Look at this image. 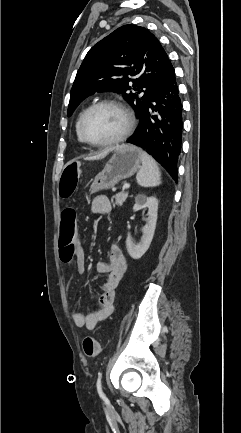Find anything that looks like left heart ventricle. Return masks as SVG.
<instances>
[{
    "instance_id": "left-heart-ventricle-1",
    "label": "left heart ventricle",
    "mask_w": 241,
    "mask_h": 433,
    "mask_svg": "<svg viewBox=\"0 0 241 433\" xmlns=\"http://www.w3.org/2000/svg\"><path fill=\"white\" fill-rule=\"evenodd\" d=\"M125 127L123 114L116 108L103 106L87 117L84 132L93 142H106L117 137Z\"/></svg>"
}]
</instances>
